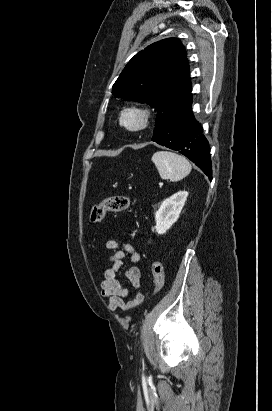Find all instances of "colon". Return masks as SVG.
Returning <instances> with one entry per match:
<instances>
[{"mask_svg": "<svg viewBox=\"0 0 272 411\" xmlns=\"http://www.w3.org/2000/svg\"><path fill=\"white\" fill-rule=\"evenodd\" d=\"M131 204L132 200L129 197L121 195L111 196L92 207L90 212V222L92 224L101 223L107 213L125 211ZM152 273L154 277V294H156L164 285V271L160 261L155 260L152 262Z\"/></svg>", "mask_w": 272, "mask_h": 411, "instance_id": "1", "label": "colon"}]
</instances>
